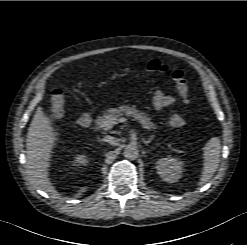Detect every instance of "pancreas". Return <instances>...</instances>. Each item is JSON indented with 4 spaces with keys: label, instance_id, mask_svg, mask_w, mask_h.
Masks as SVG:
<instances>
[{
    "label": "pancreas",
    "instance_id": "1",
    "mask_svg": "<svg viewBox=\"0 0 247 245\" xmlns=\"http://www.w3.org/2000/svg\"><path fill=\"white\" fill-rule=\"evenodd\" d=\"M123 115L131 116L137 120L143 128L151 131L157 126L152 122V119L145 113L137 109L135 105H121L117 108H111L104 111L96 119V127L105 130V121L108 119H120Z\"/></svg>",
    "mask_w": 247,
    "mask_h": 245
}]
</instances>
